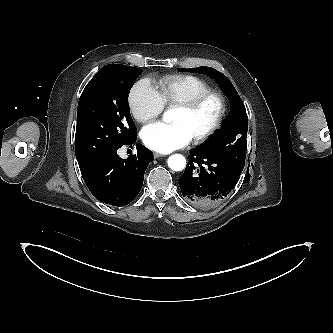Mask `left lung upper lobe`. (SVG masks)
I'll list each match as a JSON object with an SVG mask.
<instances>
[{
	"label": "left lung upper lobe",
	"mask_w": 333,
	"mask_h": 333,
	"mask_svg": "<svg viewBox=\"0 0 333 333\" xmlns=\"http://www.w3.org/2000/svg\"><path fill=\"white\" fill-rule=\"evenodd\" d=\"M178 70H188L211 76L218 82L222 91L230 99L231 110L228 113L227 122L214 138L200 148L208 154L228 162L239 171H242L246 158L245 148L248 117L245 106L234 86L226 76L211 67Z\"/></svg>",
	"instance_id": "left-lung-upper-lobe-1"
}]
</instances>
